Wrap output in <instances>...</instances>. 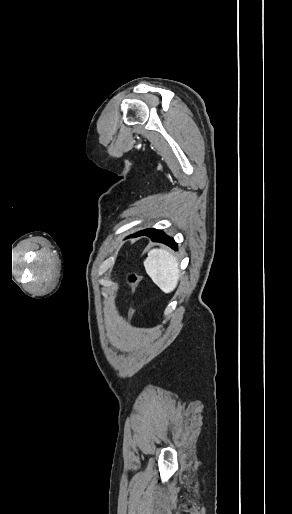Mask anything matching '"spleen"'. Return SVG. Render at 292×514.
I'll use <instances>...</instances> for the list:
<instances>
[{"label":"spleen","mask_w":292,"mask_h":514,"mask_svg":"<svg viewBox=\"0 0 292 514\" xmlns=\"http://www.w3.org/2000/svg\"><path fill=\"white\" fill-rule=\"evenodd\" d=\"M145 270L152 278L154 284L159 286L162 292L170 294L175 290L179 282V264L177 258L168 250H150L148 258L144 260Z\"/></svg>","instance_id":"1"}]
</instances>
